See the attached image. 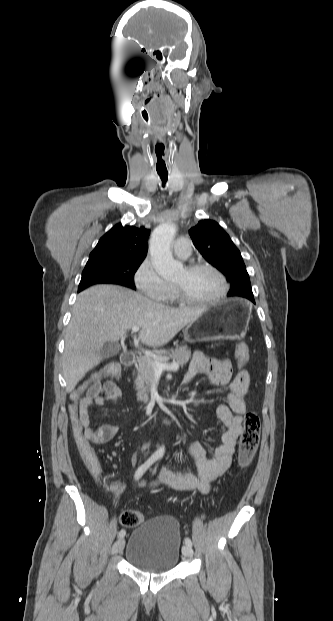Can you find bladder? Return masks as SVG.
<instances>
[{"mask_svg":"<svg viewBox=\"0 0 333 621\" xmlns=\"http://www.w3.org/2000/svg\"><path fill=\"white\" fill-rule=\"evenodd\" d=\"M178 521L167 515L155 516L136 526L129 535L125 552L127 562L149 573L171 571L181 554Z\"/></svg>","mask_w":333,"mask_h":621,"instance_id":"bladder-1","label":"bladder"}]
</instances>
